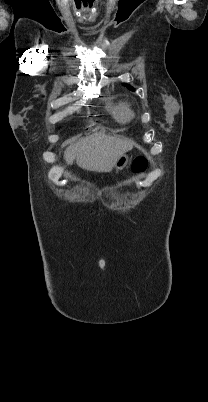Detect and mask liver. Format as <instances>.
I'll use <instances>...</instances> for the list:
<instances>
[{
  "mask_svg": "<svg viewBox=\"0 0 208 402\" xmlns=\"http://www.w3.org/2000/svg\"><path fill=\"white\" fill-rule=\"evenodd\" d=\"M135 142L118 136H88L65 150L67 164H73L90 172H111L116 160L132 150Z\"/></svg>",
  "mask_w": 208,
  "mask_h": 402,
  "instance_id": "1",
  "label": "liver"
}]
</instances>
